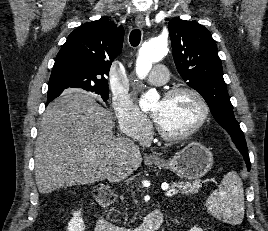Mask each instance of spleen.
I'll return each mask as SVG.
<instances>
[{
	"label": "spleen",
	"mask_w": 268,
	"mask_h": 231,
	"mask_svg": "<svg viewBox=\"0 0 268 231\" xmlns=\"http://www.w3.org/2000/svg\"><path fill=\"white\" fill-rule=\"evenodd\" d=\"M208 211L229 224H241L244 218L243 184L234 171L227 173L218 189L206 201Z\"/></svg>",
	"instance_id": "3e777b00"
}]
</instances>
